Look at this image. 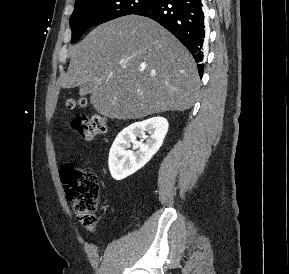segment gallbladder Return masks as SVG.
<instances>
[{
  "label": "gallbladder",
  "mask_w": 289,
  "mask_h": 274,
  "mask_svg": "<svg viewBox=\"0 0 289 274\" xmlns=\"http://www.w3.org/2000/svg\"><path fill=\"white\" fill-rule=\"evenodd\" d=\"M92 89V84L91 83H86L82 86H80V95L83 96V95H86L87 93H90Z\"/></svg>",
  "instance_id": "1"
}]
</instances>
